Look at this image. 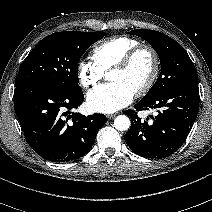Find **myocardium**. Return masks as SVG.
<instances>
[{"label": "myocardium", "mask_w": 212, "mask_h": 212, "mask_svg": "<svg viewBox=\"0 0 212 212\" xmlns=\"http://www.w3.org/2000/svg\"><path fill=\"white\" fill-rule=\"evenodd\" d=\"M142 53H147L151 57L152 69L146 82L135 91L136 96H142L147 92H149L151 88L154 86L159 76L160 59L154 48L148 45H138L133 49H131L118 63L112 66L111 69L109 70V72L113 70H119V71L128 70L133 65L136 58Z\"/></svg>", "instance_id": "f54148a6"}]
</instances>
